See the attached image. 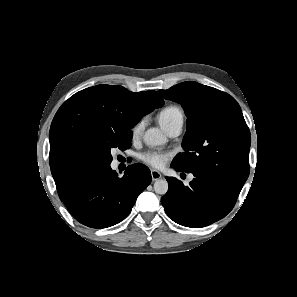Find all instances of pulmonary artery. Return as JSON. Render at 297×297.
I'll return each instance as SVG.
<instances>
[{
  "label": "pulmonary artery",
  "instance_id": "1",
  "mask_svg": "<svg viewBox=\"0 0 297 297\" xmlns=\"http://www.w3.org/2000/svg\"><path fill=\"white\" fill-rule=\"evenodd\" d=\"M183 123H178L170 127L166 132L172 136L176 137L181 133Z\"/></svg>",
  "mask_w": 297,
  "mask_h": 297
}]
</instances>
